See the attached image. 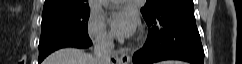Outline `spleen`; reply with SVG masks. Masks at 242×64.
<instances>
[{
	"label": "spleen",
	"instance_id": "3e777b00",
	"mask_svg": "<svg viewBox=\"0 0 242 64\" xmlns=\"http://www.w3.org/2000/svg\"><path fill=\"white\" fill-rule=\"evenodd\" d=\"M159 64H184V63L181 61H164Z\"/></svg>",
	"mask_w": 242,
	"mask_h": 64
}]
</instances>
